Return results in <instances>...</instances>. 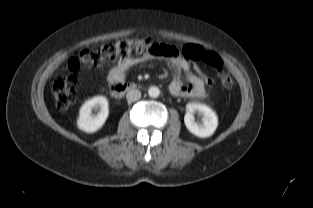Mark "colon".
I'll list each match as a JSON object with an SVG mask.
<instances>
[{
  "instance_id": "1",
  "label": "colon",
  "mask_w": 313,
  "mask_h": 208,
  "mask_svg": "<svg viewBox=\"0 0 313 208\" xmlns=\"http://www.w3.org/2000/svg\"><path fill=\"white\" fill-rule=\"evenodd\" d=\"M165 51V47L149 38L143 39H124L110 41L100 45L99 47H85L75 51L67 64L65 74L59 76L53 84L52 91L55 104L58 108L68 107L76 98L80 88V80L77 76L78 72L86 66L96 63L103 59H112L117 55L125 54H153L157 55ZM184 57L195 66L196 71L202 76L209 87L214 82L202 71L196 62L201 61L214 68L226 88L232 86L230 74L224 68L221 58L201 47L188 45L183 49Z\"/></svg>"
}]
</instances>
